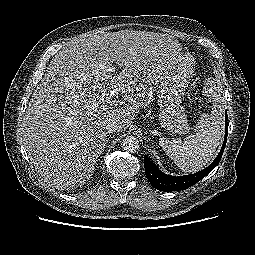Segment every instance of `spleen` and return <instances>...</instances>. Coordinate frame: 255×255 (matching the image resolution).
Here are the masks:
<instances>
[{"instance_id":"3e777b00","label":"spleen","mask_w":255,"mask_h":255,"mask_svg":"<svg viewBox=\"0 0 255 255\" xmlns=\"http://www.w3.org/2000/svg\"><path fill=\"white\" fill-rule=\"evenodd\" d=\"M222 111L204 115L198 122L199 131L183 142L160 138L159 144L173 162L184 172L202 169L214 157L223 138Z\"/></svg>"}]
</instances>
